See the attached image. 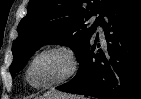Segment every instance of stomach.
Masks as SVG:
<instances>
[{"mask_svg":"<svg viewBox=\"0 0 141 99\" xmlns=\"http://www.w3.org/2000/svg\"><path fill=\"white\" fill-rule=\"evenodd\" d=\"M41 99H50L49 96H43Z\"/></svg>","mask_w":141,"mask_h":99,"instance_id":"1","label":"stomach"}]
</instances>
